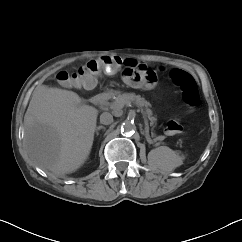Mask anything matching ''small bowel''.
Wrapping results in <instances>:
<instances>
[{
    "instance_id": "obj_1",
    "label": "small bowel",
    "mask_w": 242,
    "mask_h": 242,
    "mask_svg": "<svg viewBox=\"0 0 242 242\" xmlns=\"http://www.w3.org/2000/svg\"><path fill=\"white\" fill-rule=\"evenodd\" d=\"M124 80H125V82L127 83V84H130V85H132L129 81H128V79H127V77L126 76H124Z\"/></svg>"
}]
</instances>
